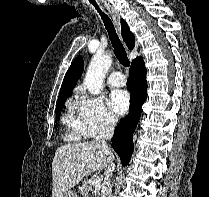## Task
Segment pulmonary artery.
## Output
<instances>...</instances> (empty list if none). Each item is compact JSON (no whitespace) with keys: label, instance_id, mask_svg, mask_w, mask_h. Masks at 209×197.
Listing matches in <instances>:
<instances>
[{"label":"pulmonary artery","instance_id":"pulmonary-artery-1","mask_svg":"<svg viewBox=\"0 0 209 197\" xmlns=\"http://www.w3.org/2000/svg\"><path fill=\"white\" fill-rule=\"evenodd\" d=\"M108 83L114 87H121L125 85L126 79L124 75L122 74V72L114 71L110 74L108 78Z\"/></svg>","mask_w":209,"mask_h":197}]
</instances>
